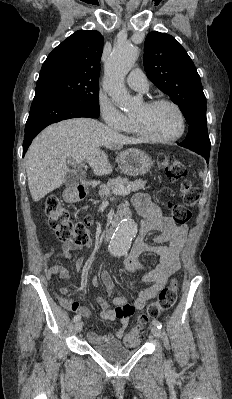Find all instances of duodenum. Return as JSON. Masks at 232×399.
<instances>
[{"label":"duodenum","instance_id":"obj_1","mask_svg":"<svg viewBox=\"0 0 232 399\" xmlns=\"http://www.w3.org/2000/svg\"><path fill=\"white\" fill-rule=\"evenodd\" d=\"M87 195V188L84 185H76L65 191L64 197L68 202H77L82 200ZM122 218H117L105 231L104 240H109L113 233L115 232L120 220Z\"/></svg>","mask_w":232,"mask_h":399}]
</instances>
